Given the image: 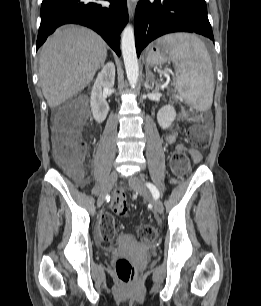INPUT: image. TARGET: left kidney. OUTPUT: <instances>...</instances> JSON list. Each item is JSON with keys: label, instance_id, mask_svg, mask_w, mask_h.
Wrapping results in <instances>:
<instances>
[{"label": "left kidney", "instance_id": "5707ae66", "mask_svg": "<svg viewBox=\"0 0 261 306\" xmlns=\"http://www.w3.org/2000/svg\"><path fill=\"white\" fill-rule=\"evenodd\" d=\"M176 118V111L172 105H165L157 113V121L162 129L171 127Z\"/></svg>", "mask_w": 261, "mask_h": 306}]
</instances>
